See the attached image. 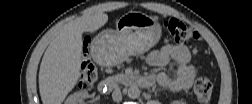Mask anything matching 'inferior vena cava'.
Wrapping results in <instances>:
<instances>
[{"instance_id":"1","label":"inferior vena cava","mask_w":252,"mask_h":104,"mask_svg":"<svg viewBox=\"0 0 252 104\" xmlns=\"http://www.w3.org/2000/svg\"><path fill=\"white\" fill-rule=\"evenodd\" d=\"M112 99L115 102H120L122 100V93L119 88H115L114 91L112 92Z\"/></svg>"}]
</instances>
